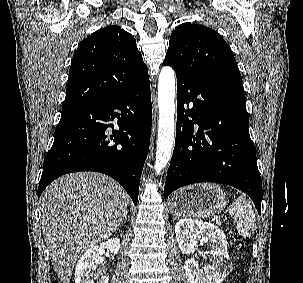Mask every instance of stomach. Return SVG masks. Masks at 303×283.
<instances>
[{
	"mask_svg": "<svg viewBox=\"0 0 303 283\" xmlns=\"http://www.w3.org/2000/svg\"><path fill=\"white\" fill-rule=\"evenodd\" d=\"M169 204L175 215L207 218L225 208L227 195L217 184L201 183L176 191Z\"/></svg>",
	"mask_w": 303,
	"mask_h": 283,
	"instance_id": "stomach-1",
	"label": "stomach"
}]
</instances>
